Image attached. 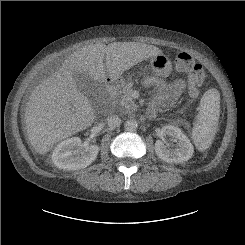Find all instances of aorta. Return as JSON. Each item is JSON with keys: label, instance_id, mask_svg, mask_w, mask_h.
Masks as SVG:
<instances>
[{"label": "aorta", "instance_id": "aorta-1", "mask_svg": "<svg viewBox=\"0 0 245 245\" xmlns=\"http://www.w3.org/2000/svg\"><path fill=\"white\" fill-rule=\"evenodd\" d=\"M124 127L127 131H135L138 127V122L135 119H128L125 121Z\"/></svg>", "mask_w": 245, "mask_h": 245}]
</instances>
